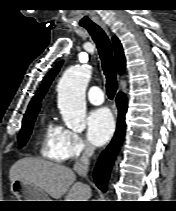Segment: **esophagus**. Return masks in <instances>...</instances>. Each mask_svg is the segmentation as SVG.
Here are the masks:
<instances>
[{"instance_id":"esophagus-1","label":"esophagus","mask_w":176,"mask_h":211,"mask_svg":"<svg viewBox=\"0 0 176 211\" xmlns=\"http://www.w3.org/2000/svg\"><path fill=\"white\" fill-rule=\"evenodd\" d=\"M100 26H101L105 31L108 32V28H107V26H106L103 22H100Z\"/></svg>"}]
</instances>
